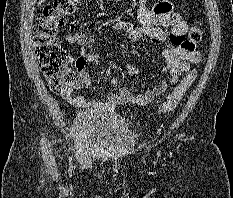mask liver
<instances>
[{
    "label": "liver",
    "instance_id": "1",
    "mask_svg": "<svg viewBox=\"0 0 233 198\" xmlns=\"http://www.w3.org/2000/svg\"><path fill=\"white\" fill-rule=\"evenodd\" d=\"M46 0H39V3L38 4H41L43 2H45Z\"/></svg>",
    "mask_w": 233,
    "mask_h": 198
}]
</instances>
